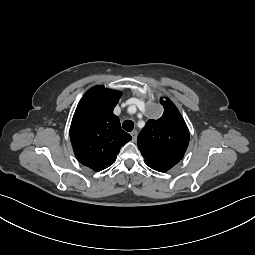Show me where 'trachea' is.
Returning a JSON list of instances; mask_svg holds the SVG:
<instances>
[{"mask_svg": "<svg viewBox=\"0 0 255 255\" xmlns=\"http://www.w3.org/2000/svg\"><path fill=\"white\" fill-rule=\"evenodd\" d=\"M122 127H123V129H124L125 131L130 132V131H132L133 128H134V123H133V121H131V120H126V121L123 122Z\"/></svg>", "mask_w": 255, "mask_h": 255, "instance_id": "3493384b", "label": "trachea"}]
</instances>
